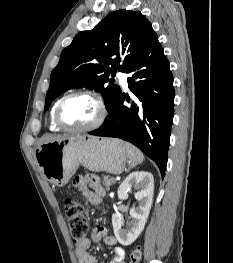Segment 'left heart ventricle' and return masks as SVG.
Masks as SVG:
<instances>
[{
  "mask_svg": "<svg viewBox=\"0 0 233 263\" xmlns=\"http://www.w3.org/2000/svg\"><path fill=\"white\" fill-rule=\"evenodd\" d=\"M99 114L94 99L88 96H77L69 99L62 108V120L73 128L86 127L92 124Z\"/></svg>",
  "mask_w": 233,
  "mask_h": 263,
  "instance_id": "1",
  "label": "left heart ventricle"
}]
</instances>
